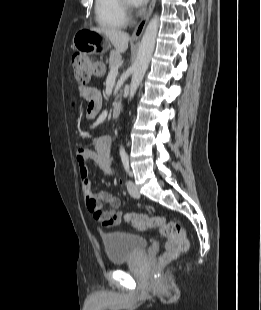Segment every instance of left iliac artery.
<instances>
[{"instance_id": "1", "label": "left iliac artery", "mask_w": 261, "mask_h": 310, "mask_svg": "<svg viewBox=\"0 0 261 310\" xmlns=\"http://www.w3.org/2000/svg\"><path fill=\"white\" fill-rule=\"evenodd\" d=\"M121 159H122V163H123L124 169L126 170L127 173H129V159H128V156L126 154H123L121 156Z\"/></svg>"}]
</instances>
